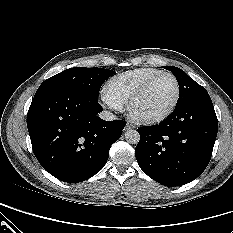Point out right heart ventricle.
I'll return each mask as SVG.
<instances>
[{
    "mask_svg": "<svg viewBox=\"0 0 233 233\" xmlns=\"http://www.w3.org/2000/svg\"><path fill=\"white\" fill-rule=\"evenodd\" d=\"M160 71V69L153 67L129 70L111 78L106 84V89L115 100L124 105L148 78Z\"/></svg>",
    "mask_w": 233,
    "mask_h": 233,
    "instance_id": "1",
    "label": "right heart ventricle"
}]
</instances>
